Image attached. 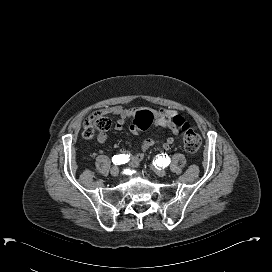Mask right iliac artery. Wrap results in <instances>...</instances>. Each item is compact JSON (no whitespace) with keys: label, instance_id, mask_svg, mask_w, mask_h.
I'll use <instances>...</instances> for the list:
<instances>
[{"label":"right iliac artery","instance_id":"obj_1","mask_svg":"<svg viewBox=\"0 0 272 272\" xmlns=\"http://www.w3.org/2000/svg\"><path fill=\"white\" fill-rule=\"evenodd\" d=\"M128 161H129V155H125V154L115 155L112 158V162L115 165L125 164Z\"/></svg>","mask_w":272,"mask_h":272}]
</instances>
